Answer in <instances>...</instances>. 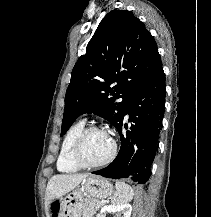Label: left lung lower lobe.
<instances>
[{
	"label": "left lung lower lobe",
	"instance_id": "left-lung-lower-lobe-1",
	"mask_svg": "<svg viewBox=\"0 0 211 217\" xmlns=\"http://www.w3.org/2000/svg\"><path fill=\"white\" fill-rule=\"evenodd\" d=\"M165 94V74L161 67L133 93L123 117L115 126L121 138L117 157L108 167L93 174L113 179L129 178L139 184L148 181L165 111ZM126 114L129 130L122 134ZM124 126L128 128V124Z\"/></svg>",
	"mask_w": 211,
	"mask_h": 217
}]
</instances>
